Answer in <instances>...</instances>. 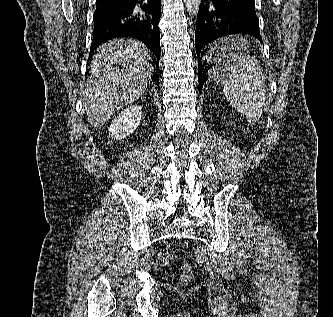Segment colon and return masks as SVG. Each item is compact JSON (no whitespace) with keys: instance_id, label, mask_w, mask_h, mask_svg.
<instances>
[{"instance_id":"1","label":"colon","mask_w":333,"mask_h":317,"mask_svg":"<svg viewBox=\"0 0 333 317\" xmlns=\"http://www.w3.org/2000/svg\"><path fill=\"white\" fill-rule=\"evenodd\" d=\"M190 276V270H189V267L188 266H185V269H184V274H183V280H187Z\"/></svg>"}]
</instances>
